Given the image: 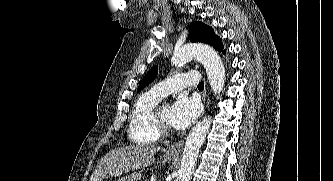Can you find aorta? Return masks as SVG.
<instances>
[{
  "mask_svg": "<svg viewBox=\"0 0 333 181\" xmlns=\"http://www.w3.org/2000/svg\"><path fill=\"white\" fill-rule=\"evenodd\" d=\"M193 58L204 66L213 93L219 95L225 82V69L218 53L208 45L189 44L175 51L171 63L175 66L181 65ZM210 125L211 117L207 116L192 128L185 142L181 167L175 181H190L200 148L210 129Z\"/></svg>",
  "mask_w": 333,
  "mask_h": 181,
  "instance_id": "obj_1",
  "label": "aorta"
}]
</instances>
